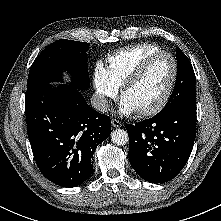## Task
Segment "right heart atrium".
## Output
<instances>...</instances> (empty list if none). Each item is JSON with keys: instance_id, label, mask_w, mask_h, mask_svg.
I'll return each mask as SVG.
<instances>
[{"instance_id": "right-heart-atrium-1", "label": "right heart atrium", "mask_w": 221, "mask_h": 221, "mask_svg": "<svg viewBox=\"0 0 221 221\" xmlns=\"http://www.w3.org/2000/svg\"><path fill=\"white\" fill-rule=\"evenodd\" d=\"M92 84L96 94V104L100 110L108 108L109 99L118 93V86L114 83L106 68L97 64L92 73Z\"/></svg>"}]
</instances>
